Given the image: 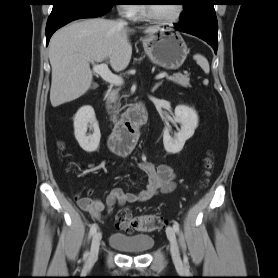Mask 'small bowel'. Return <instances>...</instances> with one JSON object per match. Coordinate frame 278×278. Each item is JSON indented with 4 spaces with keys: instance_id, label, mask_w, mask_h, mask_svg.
I'll return each mask as SVG.
<instances>
[{
    "instance_id": "obj_1",
    "label": "small bowel",
    "mask_w": 278,
    "mask_h": 278,
    "mask_svg": "<svg viewBox=\"0 0 278 278\" xmlns=\"http://www.w3.org/2000/svg\"><path fill=\"white\" fill-rule=\"evenodd\" d=\"M139 167L146 173L148 178V183L144 189L126 192L121 188H114L108 194L105 202L98 198H80L77 201L79 207L93 218L101 219L105 209L112 211L115 206L144 202L159 193H169L174 190L176 176L174 170L169 165L161 164L155 167L150 162L142 161Z\"/></svg>"
}]
</instances>
